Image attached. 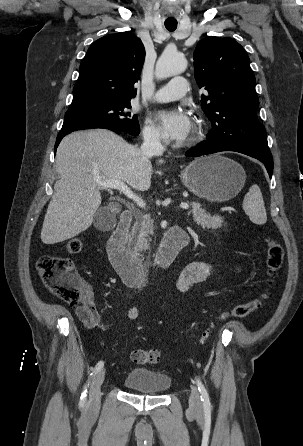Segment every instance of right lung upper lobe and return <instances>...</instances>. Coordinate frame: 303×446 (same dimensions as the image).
I'll list each match as a JSON object with an SVG mask.
<instances>
[{
  "label": "right lung upper lobe",
  "instance_id": "cb5924a9",
  "mask_svg": "<svg viewBox=\"0 0 303 446\" xmlns=\"http://www.w3.org/2000/svg\"><path fill=\"white\" fill-rule=\"evenodd\" d=\"M145 58L142 41L131 32L110 34L88 49L73 89L69 109L83 108L135 97Z\"/></svg>",
  "mask_w": 303,
  "mask_h": 446
}]
</instances>
